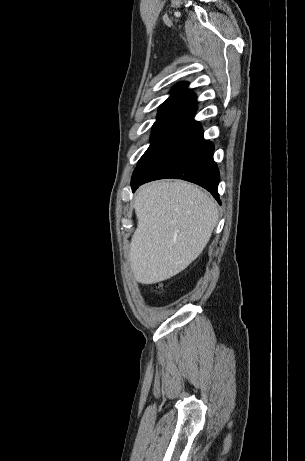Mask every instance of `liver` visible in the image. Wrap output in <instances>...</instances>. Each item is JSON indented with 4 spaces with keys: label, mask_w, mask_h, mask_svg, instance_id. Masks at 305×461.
Returning a JSON list of instances; mask_svg holds the SVG:
<instances>
[{
    "label": "liver",
    "mask_w": 305,
    "mask_h": 461,
    "mask_svg": "<svg viewBox=\"0 0 305 461\" xmlns=\"http://www.w3.org/2000/svg\"><path fill=\"white\" fill-rule=\"evenodd\" d=\"M137 228L129 261L137 282L153 284L186 269L204 250L217 225L216 203L184 181H156L139 188Z\"/></svg>",
    "instance_id": "obj_1"
}]
</instances>
